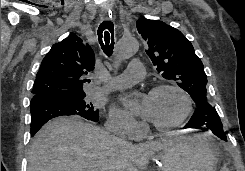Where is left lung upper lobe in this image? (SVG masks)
I'll use <instances>...</instances> for the list:
<instances>
[{"label":"left lung upper lobe","mask_w":245,"mask_h":171,"mask_svg":"<svg viewBox=\"0 0 245 171\" xmlns=\"http://www.w3.org/2000/svg\"><path fill=\"white\" fill-rule=\"evenodd\" d=\"M136 26L157 71L188 92L197 106L208 103L207 76L191 42L178 29L159 20L141 18Z\"/></svg>","instance_id":"obj_1"}]
</instances>
